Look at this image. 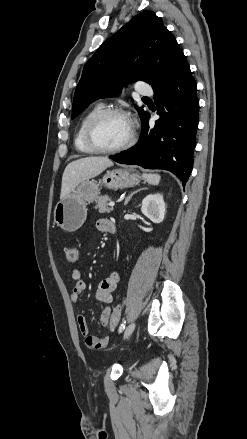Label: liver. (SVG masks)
Instances as JSON below:
<instances>
[{"label": "liver", "instance_id": "liver-1", "mask_svg": "<svg viewBox=\"0 0 247 439\" xmlns=\"http://www.w3.org/2000/svg\"><path fill=\"white\" fill-rule=\"evenodd\" d=\"M113 166L108 157L91 156L69 163L62 176L60 200L68 196L81 182L96 177Z\"/></svg>", "mask_w": 247, "mask_h": 439}]
</instances>
